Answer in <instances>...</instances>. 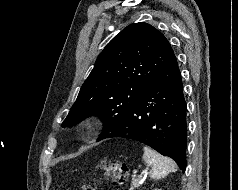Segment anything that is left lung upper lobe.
<instances>
[{
	"instance_id": "left-lung-upper-lobe-1",
	"label": "left lung upper lobe",
	"mask_w": 238,
	"mask_h": 190,
	"mask_svg": "<svg viewBox=\"0 0 238 190\" xmlns=\"http://www.w3.org/2000/svg\"><path fill=\"white\" fill-rule=\"evenodd\" d=\"M173 58L159 30L144 22L127 26L99 54L62 127L97 115L104 122L101 138L109 134Z\"/></svg>"
}]
</instances>
